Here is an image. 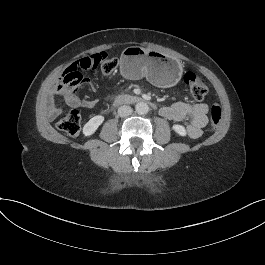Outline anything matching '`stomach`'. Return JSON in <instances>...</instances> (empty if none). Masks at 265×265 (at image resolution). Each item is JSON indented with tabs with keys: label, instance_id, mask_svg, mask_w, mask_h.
<instances>
[{
	"label": "stomach",
	"instance_id": "0dacf381",
	"mask_svg": "<svg viewBox=\"0 0 265 265\" xmlns=\"http://www.w3.org/2000/svg\"><path fill=\"white\" fill-rule=\"evenodd\" d=\"M120 71L128 79L146 77L157 86L171 87L179 81L182 66L179 60L164 52L130 46L121 54Z\"/></svg>",
	"mask_w": 265,
	"mask_h": 265
}]
</instances>
